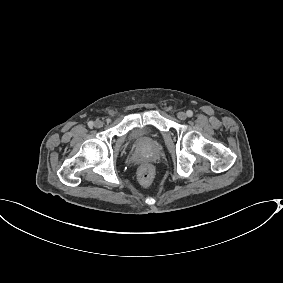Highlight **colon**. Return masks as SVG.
<instances>
[{"instance_id": "colon-1", "label": "colon", "mask_w": 283, "mask_h": 283, "mask_svg": "<svg viewBox=\"0 0 283 283\" xmlns=\"http://www.w3.org/2000/svg\"><path fill=\"white\" fill-rule=\"evenodd\" d=\"M154 178V168L151 165H143L138 172V180L141 185L148 186Z\"/></svg>"}]
</instances>
